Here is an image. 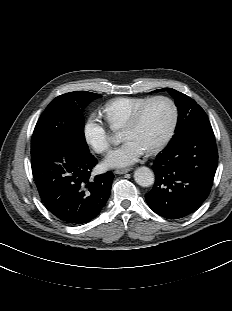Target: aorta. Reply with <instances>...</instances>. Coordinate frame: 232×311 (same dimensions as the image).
<instances>
[{
  "instance_id": "obj_1",
  "label": "aorta",
  "mask_w": 232,
  "mask_h": 311,
  "mask_svg": "<svg viewBox=\"0 0 232 311\" xmlns=\"http://www.w3.org/2000/svg\"><path fill=\"white\" fill-rule=\"evenodd\" d=\"M136 183L142 187H149L154 183V173L148 167H139L134 172Z\"/></svg>"
}]
</instances>
